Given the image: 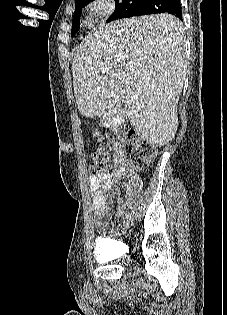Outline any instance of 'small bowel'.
Instances as JSON below:
<instances>
[{
	"instance_id": "small-bowel-1",
	"label": "small bowel",
	"mask_w": 227,
	"mask_h": 315,
	"mask_svg": "<svg viewBox=\"0 0 227 315\" xmlns=\"http://www.w3.org/2000/svg\"><path fill=\"white\" fill-rule=\"evenodd\" d=\"M114 169L111 174L99 173L89 177V190L92 196V210L99 222L109 216L108 198L119 195L118 184L124 176L134 177L140 172V167L121 149L117 148L114 156ZM110 191L109 193H106ZM118 212H125L123 200L119 201Z\"/></svg>"
}]
</instances>
